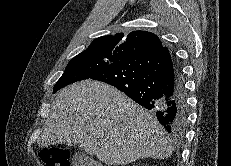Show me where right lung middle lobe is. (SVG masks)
I'll list each match as a JSON object with an SVG mask.
<instances>
[{"label": "right lung middle lobe", "instance_id": "dd1d6c3e", "mask_svg": "<svg viewBox=\"0 0 231 166\" xmlns=\"http://www.w3.org/2000/svg\"><path fill=\"white\" fill-rule=\"evenodd\" d=\"M120 61L117 56L85 50L75 56L54 86L53 93L71 83L88 79L107 66Z\"/></svg>", "mask_w": 231, "mask_h": 166}]
</instances>
